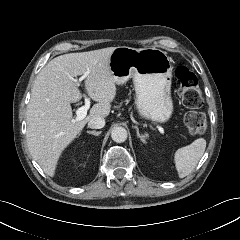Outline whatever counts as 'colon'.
I'll list each match as a JSON object with an SVG mask.
<instances>
[{"mask_svg":"<svg viewBox=\"0 0 240 240\" xmlns=\"http://www.w3.org/2000/svg\"><path fill=\"white\" fill-rule=\"evenodd\" d=\"M174 77L180 83L178 95L184 106L189 109L199 108L203 103V96L195 74L188 68L179 66L174 70ZM184 122L188 131L193 135L204 134L207 130L206 118L201 112H188Z\"/></svg>","mask_w":240,"mask_h":240,"instance_id":"5ec220e1","label":"colon"}]
</instances>
